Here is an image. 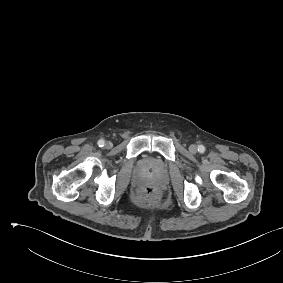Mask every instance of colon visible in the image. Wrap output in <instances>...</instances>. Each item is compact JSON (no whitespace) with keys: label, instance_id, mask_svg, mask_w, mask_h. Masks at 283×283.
Wrapping results in <instances>:
<instances>
[{"label":"colon","instance_id":"5ec220e1","mask_svg":"<svg viewBox=\"0 0 283 283\" xmlns=\"http://www.w3.org/2000/svg\"><path fill=\"white\" fill-rule=\"evenodd\" d=\"M158 192L152 187L143 188L136 192V197L142 201H150L157 198Z\"/></svg>","mask_w":283,"mask_h":283}]
</instances>
